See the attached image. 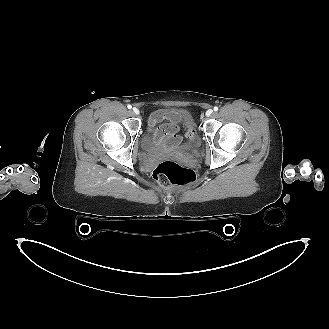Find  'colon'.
Wrapping results in <instances>:
<instances>
[{"mask_svg": "<svg viewBox=\"0 0 329 329\" xmlns=\"http://www.w3.org/2000/svg\"><path fill=\"white\" fill-rule=\"evenodd\" d=\"M195 120L192 117L184 121L183 126L190 139L195 140L198 137L194 128ZM154 178L167 186L187 187L197 181L196 173L188 168H184L173 161H165L156 166L153 171Z\"/></svg>", "mask_w": 329, "mask_h": 329, "instance_id": "colon-1", "label": "colon"}]
</instances>
